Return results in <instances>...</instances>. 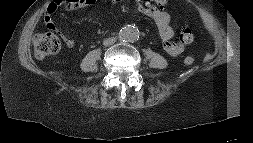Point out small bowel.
Returning a JSON list of instances; mask_svg holds the SVG:
<instances>
[{
	"label": "small bowel",
	"instance_id": "1",
	"mask_svg": "<svg viewBox=\"0 0 253 143\" xmlns=\"http://www.w3.org/2000/svg\"><path fill=\"white\" fill-rule=\"evenodd\" d=\"M119 1L121 0H114V2ZM133 1L138 3L137 4L138 10L142 14L152 18L156 22L160 32V36L163 41V48L165 52L170 56L174 57L180 55L184 50V45L183 43L174 40L175 29L172 24L170 14L165 10L167 0H158L153 5H149L144 0H133ZM95 2L96 0H93L88 4H94ZM53 14L54 13H50L48 10L45 11L44 17L45 24L47 28H49L50 30L56 31L61 34V32L59 31V29L56 27V25L52 20ZM61 36L64 41V44L68 48L74 47L75 41L73 39L69 38L64 34H61Z\"/></svg>",
	"mask_w": 253,
	"mask_h": 143
}]
</instances>
